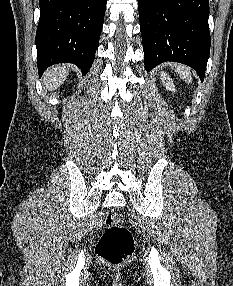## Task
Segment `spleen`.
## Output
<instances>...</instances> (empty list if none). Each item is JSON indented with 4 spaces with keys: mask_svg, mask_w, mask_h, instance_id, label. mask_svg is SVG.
<instances>
[{
    "mask_svg": "<svg viewBox=\"0 0 233 286\" xmlns=\"http://www.w3.org/2000/svg\"><path fill=\"white\" fill-rule=\"evenodd\" d=\"M175 72L185 81L190 83L192 81L191 70L187 66L175 64Z\"/></svg>",
    "mask_w": 233,
    "mask_h": 286,
    "instance_id": "spleen-1",
    "label": "spleen"
}]
</instances>
